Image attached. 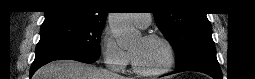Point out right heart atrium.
<instances>
[{"label":"right heart atrium","instance_id":"obj_1","mask_svg":"<svg viewBox=\"0 0 255 79\" xmlns=\"http://www.w3.org/2000/svg\"><path fill=\"white\" fill-rule=\"evenodd\" d=\"M102 50L107 64L117 71H123L130 63V55L108 34L103 37Z\"/></svg>","mask_w":255,"mask_h":79}]
</instances>
